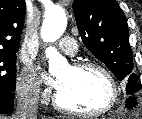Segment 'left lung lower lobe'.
I'll return each mask as SVG.
<instances>
[{
	"mask_svg": "<svg viewBox=\"0 0 142 119\" xmlns=\"http://www.w3.org/2000/svg\"><path fill=\"white\" fill-rule=\"evenodd\" d=\"M126 104H127L126 107H128V108L133 107L136 104V98L131 97V98L127 99Z\"/></svg>",
	"mask_w": 142,
	"mask_h": 119,
	"instance_id": "obj_1",
	"label": "left lung lower lobe"
}]
</instances>
